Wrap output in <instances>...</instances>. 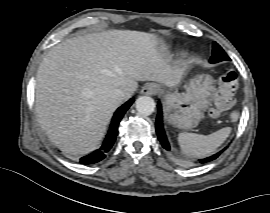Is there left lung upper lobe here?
I'll return each instance as SVG.
<instances>
[{"label":"left lung upper lobe","instance_id":"1","mask_svg":"<svg viewBox=\"0 0 270 213\" xmlns=\"http://www.w3.org/2000/svg\"><path fill=\"white\" fill-rule=\"evenodd\" d=\"M225 60H230V58L227 56L221 46L214 42L210 63H217Z\"/></svg>","mask_w":270,"mask_h":213}]
</instances>
